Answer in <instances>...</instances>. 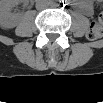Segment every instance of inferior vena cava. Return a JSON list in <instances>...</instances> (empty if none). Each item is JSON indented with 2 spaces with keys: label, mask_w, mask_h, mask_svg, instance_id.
<instances>
[{
  "label": "inferior vena cava",
  "mask_w": 103,
  "mask_h": 103,
  "mask_svg": "<svg viewBox=\"0 0 103 103\" xmlns=\"http://www.w3.org/2000/svg\"><path fill=\"white\" fill-rule=\"evenodd\" d=\"M48 6H49V2L46 0H39L36 2L37 10H44V9L48 8Z\"/></svg>",
  "instance_id": "obj_1"
}]
</instances>
